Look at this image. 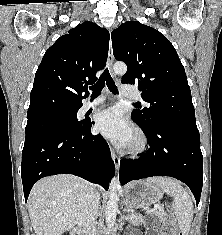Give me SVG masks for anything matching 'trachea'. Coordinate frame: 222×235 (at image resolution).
Returning a JSON list of instances; mask_svg holds the SVG:
<instances>
[{
	"mask_svg": "<svg viewBox=\"0 0 222 235\" xmlns=\"http://www.w3.org/2000/svg\"><path fill=\"white\" fill-rule=\"evenodd\" d=\"M105 83L112 93L114 94L118 93L117 87L109 73V70L105 69L102 75L100 76L99 80L97 81V83L90 87V90H92V96L100 95L103 87L105 86ZM135 104H138V103H135Z\"/></svg>",
	"mask_w": 222,
	"mask_h": 235,
	"instance_id": "1",
	"label": "trachea"
}]
</instances>
